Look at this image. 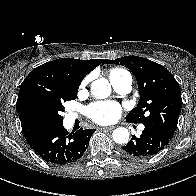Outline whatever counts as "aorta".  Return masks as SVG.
I'll list each match as a JSON object with an SVG mask.
<instances>
[{"mask_svg": "<svg viewBox=\"0 0 196 196\" xmlns=\"http://www.w3.org/2000/svg\"><path fill=\"white\" fill-rule=\"evenodd\" d=\"M110 92V83L105 78L97 79L91 84V93L99 99L107 98L110 95ZM129 136V131L123 127L116 128L112 133L113 140L118 144L127 143L129 141Z\"/></svg>", "mask_w": 196, "mask_h": 196, "instance_id": "762f6f07", "label": "aorta"}]
</instances>
